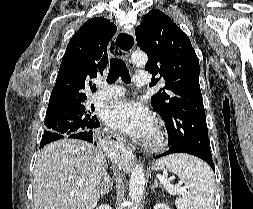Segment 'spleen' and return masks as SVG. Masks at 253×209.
Segmentation results:
<instances>
[{
    "instance_id": "spleen-1",
    "label": "spleen",
    "mask_w": 253,
    "mask_h": 209,
    "mask_svg": "<svg viewBox=\"0 0 253 209\" xmlns=\"http://www.w3.org/2000/svg\"><path fill=\"white\" fill-rule=\"evenodd\" d=\"M153 169L168 170L184 181L187 192L176 199L177 209H214L213 172L199 158L173 154L159 159Z\"/></svg>"
}]
</instances>
